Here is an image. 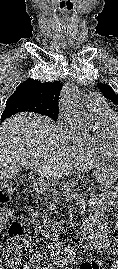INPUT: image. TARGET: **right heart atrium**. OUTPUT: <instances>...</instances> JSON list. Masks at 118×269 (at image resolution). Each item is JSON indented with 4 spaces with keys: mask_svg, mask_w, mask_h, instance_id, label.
Instances as JSON below:
<instances>
[{
    "mask_svg": "<svg viewBox=\"0 0 118 269\" xmlns=\"http://www.w3.org/2000/svg\"><path fill=\"white\" fill-rule=\"evenodd\" d=\"M61 126L69 141L78 146L85 139L87 133L69 116L62 115Z\"/></svg>",
    "mask_w": 118,
    "mask_h": 269,
    "instance_id": "right-heart-atrium-1",
    "label": "right heart atrium"
}]
</instances>
